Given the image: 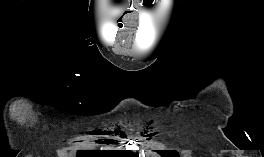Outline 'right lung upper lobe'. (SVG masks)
Returning a JSON list of instances; mask_svg holds the SVG:
<instances>
[{
    "label": "right lung upper lobe",
    "mask_w": 264,
    "mask_h": 157,
    "mask_svg": "<svg viewBox=\"0 0 264 157\" xmlns=\"http://www.w3.org/2000/svg\"><path fill=\"white\" fill-rule=\"evenodd\" d=\"M89 154L85 152H78L77 157L88 156ZM92 156L99 157H138V154L133 155L130 151L127 150H116V151H97L92 154Z\"/></svg>",
    "instance_id": "cb5924a9"
}]
</instances>
